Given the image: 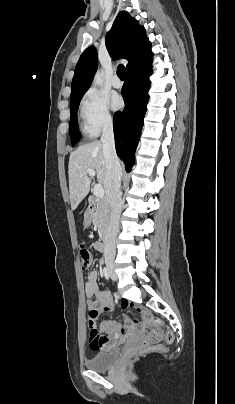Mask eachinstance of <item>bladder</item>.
I'll use <instances>...</instances> for the list:
<instances>
[{
    "label": "bladder",
    "instance_id": "31cf9c89",
    "mask_svg": "<svg viewBox=\"0 0 235 404\" xmlns=\"http://www.w3.org/2000/svg\"><path fill=\"white\" fill-rule=\"evenodd\" d=\"M120 356V347H102L95 355L86 361V365L93 371L104 372L109 370L116 362H118Z\"/></svg>",
    "mask_w": 235,
    "mask_h": 404
}]
</instances>
